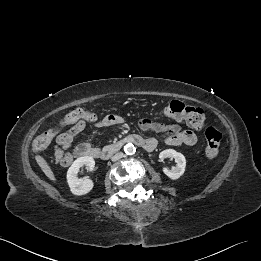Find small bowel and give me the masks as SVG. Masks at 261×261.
I'll list each match as a JSON object with an SVG mask.
<instances>
[{
  "instance_id": "small-bowel-1",
  "label": "small bowel",
  "mask_w": 261,
  "mask_h": 261,
  "mask_svg": "<svg viewBox=\"0 0 261 261\" xmlns=\"http://www.w3.org/2000/svg\"><path fill=\"white\" fill-rule=\"evenodd\" d=\"M124 123L122 117L118 115H106L96 122L97 127H109L121 125ZM65 126L64 122L57 124L48 129L50 132H58ZM140 126L145 130H153L162 133V141L170 146H194L197 143V136L195 133L189 130H183L181 126L177 123L174 124H163L159 122H154L150 119H143L140 122ZM155 143L157 140L152 139ZM70 144V143H69ZM69 144H59L55 145L54 158L55 162L61 165H68L76 157L91 156L96 157V153L99 151L98 147H93L88 143L78 144L73 152L66 151Z\"/></svg>"
}]
</instances>
